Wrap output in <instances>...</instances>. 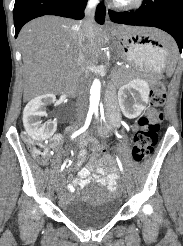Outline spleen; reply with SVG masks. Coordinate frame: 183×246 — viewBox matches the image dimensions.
Segmentation results:
<instances>
[{
  "instance_id": "3e777b00",
  "label": "spleen",
  "mask_w": 183,
  "mask_h": 246,
  "mask_svg": "<svg viewBox=\"0 0 183 246\" xmlns=\"http://www.w3.org/2000/svg\"><path fill=\"white\" fill-rule=\"evenodd\" d=\"M176 61H177L176 52L172 51V53L170 55L169 66L167 68V75L168 76L172 75Z\"/></svg>"
}]
</instances>
